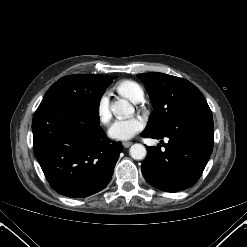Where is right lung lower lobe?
<instances>
[{
    "label": "right lung lower lobe",
    "instance_id": "1",
    "mask_svg": "<svg viewBox=\"0 0 247 247\" xmlns=\"http://www.w3.org/2000/svg\"><path fill=\"white\" fill-rule=\"evenodd\" d=\"M32 130L34 154L56 192L86 197L107 186L122 144L107 138L99 110L65 100L42 101Z\"/></svg>",
    "mask_w": 247,
    "mask_h": 247
}]
</instances>
